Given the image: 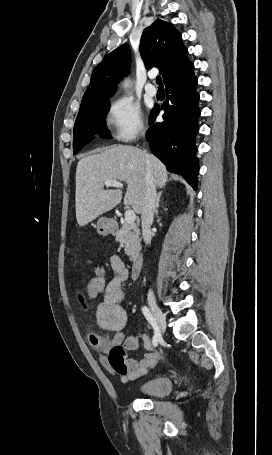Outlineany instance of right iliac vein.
I'll return each instance as SVG.
<instances>
[{
  "instance_id": "right-iliac-vein-1",
  "label": "right iliac vein",
  "mask_w": 272,
  "mask_h": 455,
  "mask_svg": "<svg viewBox=\"0 0 272 455\" xmlns=\"http://www.w3.org/2000/svg\"><path fill=\"white\" fill-rule=\"evenodd\" d=\"M149 305L156 320L159 331L161 333H164L166 330V319L163 312L154 300H149Z\"/></svg>"
}]
</instances>
